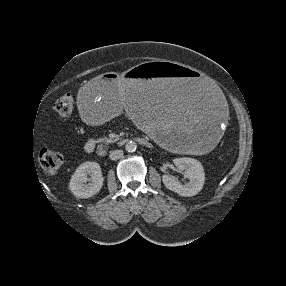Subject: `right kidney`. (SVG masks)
I'll list each match as a JSON object with an SVG mask.
<instances>
[{
	"label": "right kidney",
	"mask_w": 286,
	"mask_h": 286,
	"mask_svg": "<svg viewBox=\"0 0 286 286\" xmlns=\"http://www.w3.org/2000/svg\"><path fill=\"white\" fill-rule=\"evenodd\" d=\"M103 181L100 165L97 162L87 161L82 163L72 175L69 189L77 198H89L101 190Z\"/></svg>",
	"instance_id": "right-kidney-1"
}]
</instances>
